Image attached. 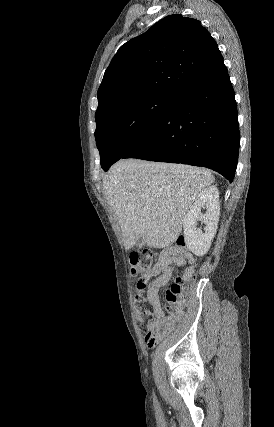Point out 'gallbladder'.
<instances>
[{
    "label": "gallbladder",
    "mask_w": 274,
    "mask_h": 427,
    "mask_svg": "<svg viewBox=\"0 0 274 427\" xmlns=\"http://www.w3.org/2000/svg\"><path fill=\"white\" fill-rule=\"evenodd\" d=\"M144 245L142 237H138L136 241V247H142Z\"/></svg>",
    "instance_id": "1"
}]
</instances>
